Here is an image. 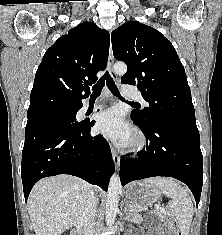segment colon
<instances>
[{"mask_svg":"<svg viewBox=\"0 0 222 235\" xmlns=\"http://www.w3.org/2000/svg\"><path fill=\"white\" fill-rule=\"evenodd\" d=\"M160 235H182L173 220H167L160 229Z\"/></svg>","mask_w":222,"mask_h":235,"instance_id":"colon-1","label":"colon"}]
</instances>
